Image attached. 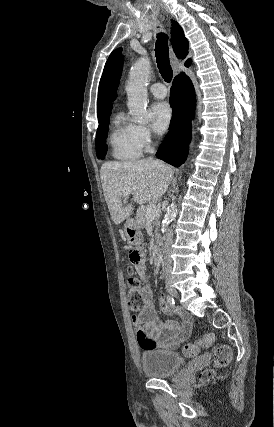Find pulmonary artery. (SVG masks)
<instances>
[{"label":"pulmonary artery","mask_w":274,"mask_h":427,"mask_svg":"<svg viewBox=\"0 0 274 427\" xmlns=\"http://www.w3.org/2000/svg\"><path fill=\"white\" fill-rule=\"evenodd\" d=\"M150 92L158 98H164L167 95V88L161 83H154L149 87Z\"/></svg>","instance_id":"e3ab8cb5"}]
</instances>
